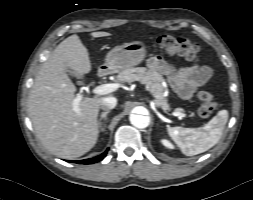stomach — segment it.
Instances as JSON below:
<instances>
[{"label": "stomach", "instance_id": "1", "mask_svg": "<svg viewBox=\"0 0 253 200\" xmlns=\"http://www.w3.org/2000/svg\"><path fill=\"white\" fill-rule=\"evenodd\" d=\"M145 44L141 41L125 43L109 51L106 55L104 67L110 72L139 65L145 58Z\"/></svg>", "mask_w": 253, "mask_h": 200}]
</instances>
